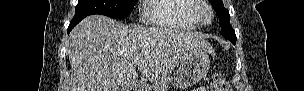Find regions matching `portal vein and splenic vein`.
<instances>
[{
    "instance_id": "portal-vein-and-splenic-vein-1",
    "label": "portal vein and splenic vein",
    "mask_w": 304,
    "mask_h": 91,
    "mask_svg": "<svg viewBox=\"0 0 304 91\" xmlns=\"http://www.w3.org/2000/svg\"><path fill=\"white\" fill-rule=\"evenodd\" d=\"M140 61H141V58L140 57H136V58H134L133 63L134 64H138Z\"/></svg>"
}]
</instances>
